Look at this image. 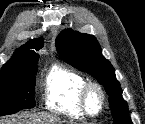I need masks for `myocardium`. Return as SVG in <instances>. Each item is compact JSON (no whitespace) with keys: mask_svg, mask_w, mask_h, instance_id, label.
<instances>
[{"mask_svg":"<svg viewBox=\"0 0 145 124\" xmlns=\"http://www.w3.org/2000/svg\"><path fill=\"white\" fill-rule=\"evenodd\" d=\"M92 93H97L99 96V105L96 110H91L89 107V98ZM106 103V94L103 87L97 82H87L80 92V107L84 115L94 117L99 115Z\"/></svg>","mask_w":145,"mask_h":124,"instance_id":"1","label":"myocardium"}]
</instances>
